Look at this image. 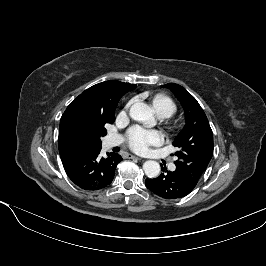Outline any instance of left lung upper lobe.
Returning <instances> with one entry per match:
<instances>
[{"mask_svg":"<svg viewBox=\"0 0 266 266\" xmlns=\"http://www.w3.org/2000/svg\"><path fill=\"white\" fill-rule=\"evenodd\" d=\"M162 87L172 90L185 112L186 124L173 142L178 148V160L174 162L176 169L189 181L197 184L213 155L211 127L197 100L182 86L168 83Z\"/></svg>","mask_w":266,"mask_h":266,"instance_id":"left-lung-upper-lobe-1","label":"left lung upper lobe"}]
</instances>
